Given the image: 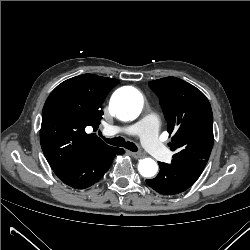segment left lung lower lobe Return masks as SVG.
Instances as JSON below:
<instances>
[{
	"mask_svg": "<svg viewBox=\"0 0 250 250\" xmlns=\"http://www.w3.org/2000/svg\"><path fill=\"white\" fill-rule=\"evenodd\" d=\"M158 163L159 174L154 179H147L146 183L164 195H174L188 189L198 179L206 165L203 160Z\"/></svg>",
	"mask_w": 250,
	"mask_h": 250,
	"instance_id": "left-lung-lower-lobe-1",
	"label": "left lung lower lobe"
}]
</instances>
